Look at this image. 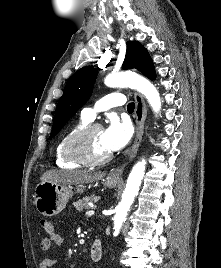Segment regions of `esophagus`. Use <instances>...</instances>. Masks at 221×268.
<instances>
[{
  "label": "esophagus",
  "mask_w": 221,
  "mask_h": 268,
  "mask_svg": "<svg viewBox=\"0 0 221 268\" xmlns=\"http://www.w3.org/2000/svg\"><path fill=\"white\" fill-rule=\"evenodd\" d=\"M134 98L136 102L135 113H134L136 132L134 142L132 144L131 149L129 150L130 160L133 159L137 154L144 133V124L147 116V107L143 97L139 93L135 92ZM125 165L126 164H123L122 166L111 170V172L109 173V177L113 179L121 178Z\"/></svg>",
  "instance_id": "34e87169"
}]
</instances>
